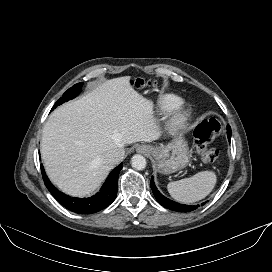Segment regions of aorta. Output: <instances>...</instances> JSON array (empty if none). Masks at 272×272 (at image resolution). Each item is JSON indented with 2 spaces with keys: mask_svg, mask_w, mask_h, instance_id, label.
Wrapping results in <instances>:
<instances>
[{
  "mask_svg": "<svg viewBox=\"0 0 272 272\" xmlns=\"http://www.w3.org/2000/svg\"><path fill=\"white\" fill-rule=\"evenodd\" d=\"M146 159L144 156L136 154L131 158V165L136 170H143L146 167Z\"/></svg>",
  "mask_w": 272,
  "mask_h": 272,
  "instance_id": "obj_1",
  "label": "aorta"
}]
</instances>
